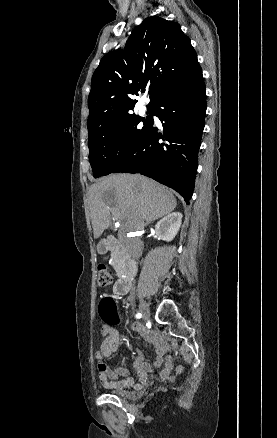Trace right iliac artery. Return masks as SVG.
Returning <instances> with one entry per match:
<instances>
[{
	"label": "right iliac artery",
	"instance_id": "82829eb1",
	"mask_svg": "<svg viewBox=\"0 0 277 438\" xmlns=\"http://www.w3.org/2000/svg\"><path fill=\"white\" fill-rule=\"evenodd\" d=\"M141 316H142L141 313H137V314H136V318H138V319H140Z\"/></svg>",
	"mask_w": 277,
	"mask_h": 438
}]
</instances>
